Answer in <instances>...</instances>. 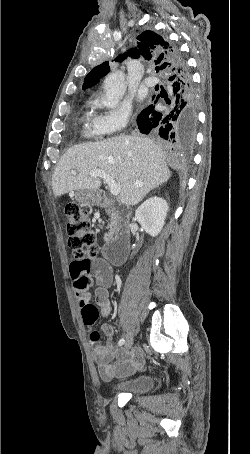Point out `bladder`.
Listing matches in <instances>:
<instances>
[{"label":"bladder","mask_w":250,"mask_h":454,"mask_svg":"<svg viewBox=\"0 0 250 454\" xmlns=\"http://www.w3.org/2000/svg\"><path fill=\"white\" fill-rule=\"evenodd\" d=\"M154 386V375L143 373L113 382L111 391L115 394L142 395L150 392Z\"/></svg>","instance_id":"obj_1"}]
</instances>
